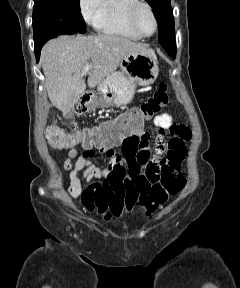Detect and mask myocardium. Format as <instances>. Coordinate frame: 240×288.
I'll use <instances>...</instances> for the list:
<instances>
[{
	"label": "myocardium",
	"mask_w": 240,
	"mask_h": 288,
	"mask_svg": "<svg viewBox=\"0 0 240 288\" xmlns=\"http://www.w3.org/2000/svg\"><path fill=\"white\" fill-rule=\"evenodd\" d=\"M142 7H145L148 9L155 23L154 31L150 35L142 34L138 30L137 25H136V15ZM127 22H128L129 27L141 38H150L154 36L157 33L158 28H159V22H158L156 13L153 7L145 0H135V2L129 6L128 11H127Z\"/></svg>",
	"instance_id": "obj_1"
}]
</instances>
